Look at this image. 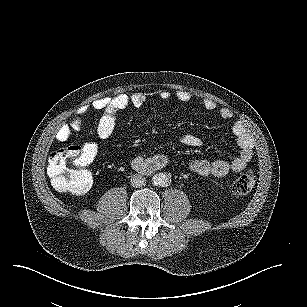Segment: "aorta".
<instances>
[{"label": "aorta", "mask_w": 307, "mask_h": 307, "mask_svg": "<svg viewBox=\"0 0 307 307\" xmlns=\"http://www.w3.org/2000/svg\"><path fill=\"white\" fill-rule=\"evenodd\" d=\"M152 181V183L158 187L165 186L169 182L167 176L164 173L154 174V176L152 177Z\"/></svg>", "instance_id": "1"}]
</instances>
